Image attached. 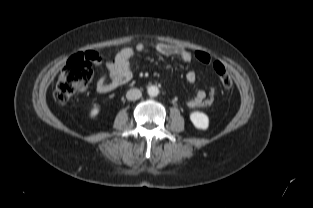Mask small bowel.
I'll return each mask as SVG.
<instances>
[{"label": "small bowel", "mask_w": 313, "mask_h": 208, "mask_svg": "<svg viewBox=\"0 0 313 208\" xmlns=\"http://www.w3.org/2000/svg\"><path fill=\"white\" fill-rule=\"evenodd\" d=\"M154 49L163 56H178L183 62H190L192 60V52L174 46L169 43L157 42L153 45ZM147 49L145 42L138 43L135 48L125 47L120 50L113 59L107 60L104 65L100 56L96 53L97 58L94 64L97 67L104 66L105 73L102 74L96 82V90L98 93L106 94L126 84L132 77L131 60L135 55V51L143 52ZM196 73L189 70L186 74V80L190 84L196 82ZM206 99L204 90H197L194 97L187 101L189 108H196L203 106Z\"/></svg>", "instance_id": "obj_1"}]
</instances>
